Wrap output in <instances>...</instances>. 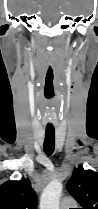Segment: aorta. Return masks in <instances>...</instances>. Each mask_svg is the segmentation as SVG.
Returning <instances> with one entry per match:
<instances>
[{"label": "aorta", "mask_w": 98, "mask_h": 209, "mask_svg": "<svg viewBox=\"0 0 98 209\" xmlns=\"http://www.w3.org/2000/svg\"><path fill=\"white\" fill-rule=\"evenodd\" d=\"M63 185L60 181H51L43 190L40 198V209H59Z\"/></svg>", "instance_id": "aorta-1"}]
</instances>
